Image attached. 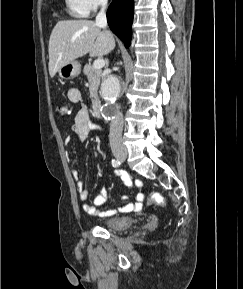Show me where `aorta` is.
Masks as SVG:
<instances>
[{
  "label": "aorta",
  "instance_id": "762f6f07",
  "mask_svg": "<svg viewBox=\"0 0 243 289\" xmlns=\"http://www.w3.org/2000/svg\"><path fill=\"white\" fill-rule=\"evenodd\" d=\"M120 82L115 76H108L102 83L101 95L106 105L111 107L115 104L120 94Z\"/></svg>",
  "mask_w": 243,
  "mask_h": 289
}]
</instances>
